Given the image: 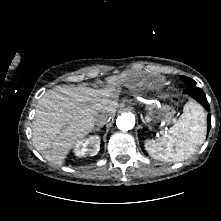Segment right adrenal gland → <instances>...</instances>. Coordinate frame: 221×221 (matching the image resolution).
Segmentation results:
<instances>
[{"label": "right adrenal gland", "instance_id": "obj_1", "mask_svg": "<svg viewBox=\"0 0 221 221\" xmlns=\"http://www.w3.org/2000/svg\"><path fill=\"white\" fill-rule=\"evenodd\" d=\"M100 128H101L100 126H99V127L94 128V129H93V132H95V131H100Z\"/></svg>", "mask_w": 221, "mask_h": 221}]
</instances>
